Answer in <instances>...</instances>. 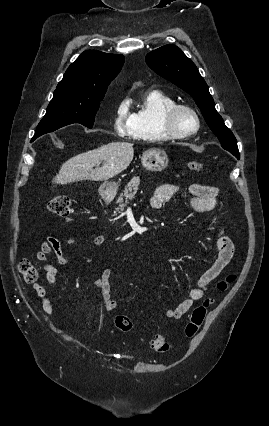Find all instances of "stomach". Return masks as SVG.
I'll return each instance as SVG.
<instances>
[{"label":"stomach","instance_id":"0dacf381","mask_svg":"<svg viewBox=\"0 0 269 426\" xmlns=\"http://www.w3.org/2000/svg\"><path fill=\"white\" fill-rule=\"evenodd\" d=\"M142 165L149 171H162L167 167L168 158L164 151L160 149H150L145 151L141 158ZM118 184L115 182H104L99 193L104 198H111L116 195Z\"/></svg>","mask_w":269,"mask_h":426}]
</instances>
